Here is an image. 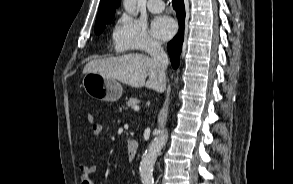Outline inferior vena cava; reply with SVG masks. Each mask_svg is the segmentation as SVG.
Segmentation results:
<instances>
[{
  "label": "inferior vena cava",
  "instance_id": "1",
  "mask_svg": "<svg viewBox=\"0 0 293 184\" xmlns=\"http://www.w3.org/2000/svg\"><path fill=\"white\" fill-rule=\"evenodd\" d=\"M148 53L150 54L153 64L157 69L160 77L166 81V69L169 63L163 47L159 43H152L149 45Z\"/></svg>",
  "mask_w": 293,
  "mask_h": 184
}]
</instances>
